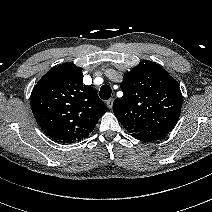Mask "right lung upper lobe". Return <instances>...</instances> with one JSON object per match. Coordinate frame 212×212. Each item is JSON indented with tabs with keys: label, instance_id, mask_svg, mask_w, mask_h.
<instances>
[{
	"label": "right lung upper lobe",
	"instance_id": "obj_1",
	"mask_svg": "<svg viewBox=\"0 0 212 212\" xmlns=\"http://www.w3.org/2000/svg\"><path fill=\"white\" fill-rule=\"evenodd\" d=\"M81 68L65 63L52 68L31 93V108L41 129L61 143L88 137L107 111L90 86L84 85Z\"/></svg>",
	"mask_w": 212,
	"mask_h": 212
}]
</instances>
